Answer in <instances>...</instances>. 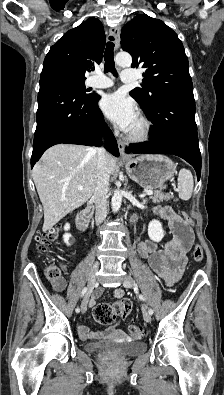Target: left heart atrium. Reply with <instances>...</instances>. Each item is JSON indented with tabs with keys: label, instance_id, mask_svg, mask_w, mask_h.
<instances>
[{
	"label": "left heart atrium",
	"instance_id": "obj_1",
	"mask_svg": "<svg viewBox=\"0 0 224 395\" xmlns=\"http://www.w3.org/2000/svg\"><path fill=\"white\" fill-rule=\"evenodd\" d=\"M100 107L107 118L123 131H130L138 120L135 103L123 93L105 95L100 101Z\"/></svg>",
	"mask_w": 224,
	"mask_h": 395
}]
</instances>
